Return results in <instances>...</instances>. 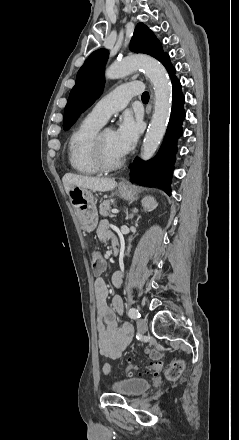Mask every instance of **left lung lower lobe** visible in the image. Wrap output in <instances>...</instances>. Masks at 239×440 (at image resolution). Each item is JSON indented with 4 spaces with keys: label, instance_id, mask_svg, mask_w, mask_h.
<instances>
[{
    "label": "left lung lower lobe",
    "instance_id": "0a47b994",
    "mask_svg": "<svg viewBox=\"0 0 239 440\" xmlns=\"http://www.w3.org/2000/svg\"><path fill=\"white\" fill-rule=\"evenodd\" d=\"M167 69L173 86L172 112L163 144L157 156L147 162L136 158L131 165L130 178L136 182L162 186L171 194V177L174 169L176 141L182 135V121L185 118L184 96L181 85L175 77V68L172 66L168 54L161 60Z\"/></svg>",
    "mask_w": 239,
    "mask_h": 440
}]
</instances>
